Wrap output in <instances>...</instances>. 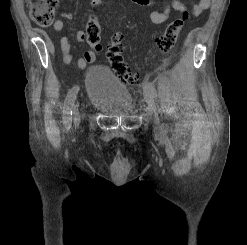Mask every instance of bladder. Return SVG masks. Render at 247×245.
Segmentation results:
<instances>
[{
	"instance_id": "31cf9c89",
	"label": "bladder",
	"mask_w": 247,
	"mask_h": 245,
	"mask_svg": "<svg viewBox=\"0 0 247 245\" xmlns=\"http://www.w3.org/2000/svg\"><path fill=\"white\" fill-rule=\"evenodd\" d=\"M85 85L89 102L99 111L115 116L133 113L130 90L109 68L93 66L87 69Z\"/></svg>"
}]
</instances>
